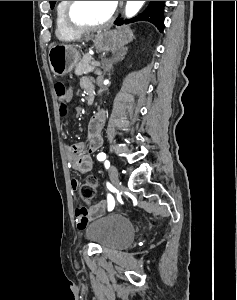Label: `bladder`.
<instances>
[{"label":"bladder","mask_w":237,"mask_h":300,"mask_svg":"<svg viewBox=\"0 0 237 300\" xmlns=\"http://www.w3.org/2000/svg\"><path fill=\"white\" fill-rule=\"evenodd\" d=\"M135 230L127 218L110 214L92 220L85 228L88 241L102 249L116 250L128 246L134 238Z\"/></svg>","instance_id":"obj_1"}]
</instances>
